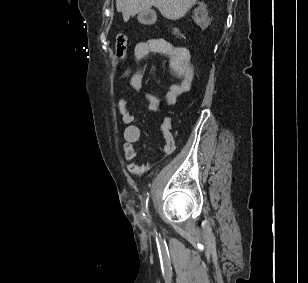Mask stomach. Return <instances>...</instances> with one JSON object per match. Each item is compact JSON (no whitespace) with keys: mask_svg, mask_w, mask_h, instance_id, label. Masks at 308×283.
I'll return each instance as SVG.
<instances>
[{"mask_svg":"<svg viewBox=\"0 0 308 283\" xmlns=\"http://www.w3.org/2000/svg\"><path fill=\"white\" fill-rule=\"evenodd\" d=\"M138 19L141 23H148L149 22L146 11L140 13L139 16H138Z\"/></svg>","mask_w":308,"mask_h":283,"instance_id":"obj_1","label":"stomach"}]
</instances>
